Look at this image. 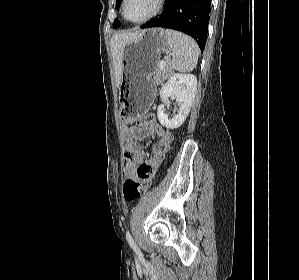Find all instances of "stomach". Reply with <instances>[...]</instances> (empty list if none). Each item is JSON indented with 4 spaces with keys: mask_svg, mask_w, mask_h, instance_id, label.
Here are the masks:
<instances>
[{
    "mask_svg": "<svg viewBox=\"0 0 299 280\" xmlns=\"http://www.w3.org/2000/svg\"><path fill=\"white\" fill-rule=\"evenodd\" d=\"M169 49L161 28L147 29L124 47L119 98L124 117L146 113L155 94L152 80L162 53Z\"/></svg>",
    "mask_w": 299,
    "mask_h": 280,
    "instance_id": "1",
    "label": "stomach"
}]
</instances>
